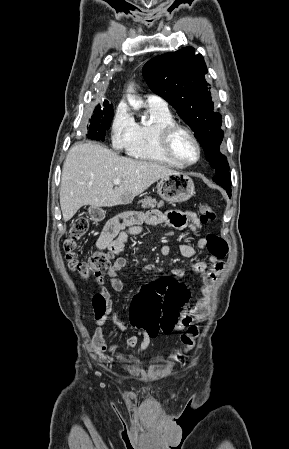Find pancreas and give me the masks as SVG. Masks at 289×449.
<instances>
[{
	"label": "pancreas",
	"instance_id": "cf45deb5",
	"mask_svg": "<svg viewBox=\"0 0 289 449\" xmlns=\"http://www.w3.org/2000/svg\"><path fill=\"white\" fill-rule=\"evenodd\" d=\"M139 203H141V207L143 209L155 208L156 206L162 207L164 205L163 201L157 202L155 199H152L150 197H146V198L142 199L141 201H139Z\"/></svg>",
	"mask_w": 289,
	"mask_h": 449
}]
</instances>
